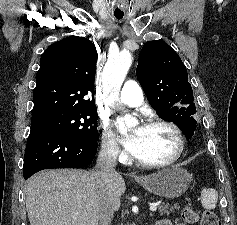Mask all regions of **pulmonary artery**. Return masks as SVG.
Segmentation results:
<instances>
[{"label":"pulmonary artery","mask_w":237,"mask_h":225,"mask_svg":"<svg viewBox=\"0 0 237 225\" xmlns=\"http://www.w3.org/2000/svg\"><path fill=\"white\" fill-rule=\"evenodd\" d=\"M119 102L130 107L141 105L143 102L141 86L133 80L126 81L119 95Z\"/></svg>","instance_id":"1"}]
</instances>
